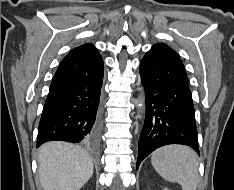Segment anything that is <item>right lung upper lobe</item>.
I'll return each mask as SVG.
<instances>
[{
	"instance_id": "obj_1",
	"label": "right lung upper lobe",
	"mask_w": 234,
	"mask_h": 190,
	"mask_svg": "<svg viewBox=\"0 0 234 190\" xmlns=\"http://www.w3.org/2000/svg\"><path fill=\"white\" fill-rule=\"evenodd\" d=\"M88 45H91V44H84V45H82V46H88Z\"/></svg>"
}]
</instances>
